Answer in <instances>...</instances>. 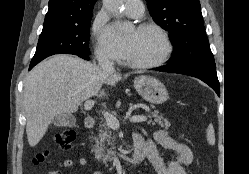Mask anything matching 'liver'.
<instances>
[{
    "instance_id": "1",
    "label": "liver",
    "mask_w": 249,
    "mask_h": 174,
    "mask_svg": "<svg viewBox=\"0 0 249 174\" xmlns=\"http://www.w3.org/2000/svg\"><path fill=\"white\" fill-rule=\"evenodd\" d=\"M120 80V74L104 73L96 64L67 54L36 65L25 78L23 92L29 145L40 142L55 116L76 112L93 96L104 97L102 85L115 86Z\"/></svg>"
}]
</instances>
